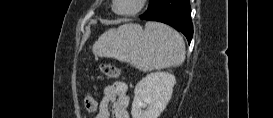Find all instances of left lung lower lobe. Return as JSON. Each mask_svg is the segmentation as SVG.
Here are the masks:
<instances>
[{"instance_id": "1", "label": "left lung lower lobe", "mask_w": 273, "mask_h": 118, "mask_svg": "<svg viewBox=\"0 0 273 118\" xmlns=\"http://www.w3.org/2000/svg\"><path fill=\"white\" fill-rule=\"evenodd\" d=\"M141 19L168 24L182 32L188 42H191L193 25L189 0H163L153 12L142 16Z\"/></svg>"}]
</instances>
